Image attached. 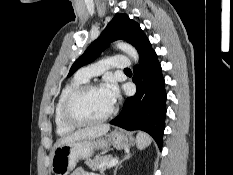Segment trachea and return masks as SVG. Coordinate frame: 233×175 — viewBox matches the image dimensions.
<instances>
[{
	"label": "trachea",
	"mask_w": 233,
	"mask_h": 175,
	"mask_svg": "<svg viewBox=\"0 0 233 175\" xmlns=\"http://www.w3.org/2000/svg\"><path fill=\"white\" fill-rule=\"evenodd\" d=\"M124 71H130V69H129V68H126Z\"/></svg>",
	"instance_id": "trachea-1"
}]
</instances>
